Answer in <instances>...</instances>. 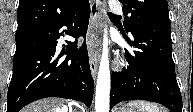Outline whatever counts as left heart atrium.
<instances>
[{
	"label": "left heart atrium",
	"mask_w": 193,
	"mask_h": 112,
	"mask_svg": "<svg viewBox=\"0 0 193 112\" xmlns=\"http://www.w3.org/2000/svg\"><path fill=\"white\" fill-rule=\"evenodd\" d=\"M87 42H88V44L90 45V46H93L94 45V43H95V38H89L88 40H87Z\"/></svg>",
	"instance_id": "1"
}]
</instances>
